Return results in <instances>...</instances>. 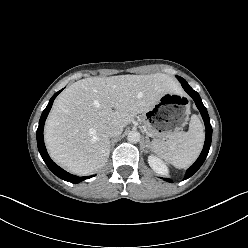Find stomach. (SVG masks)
<instances>
[{
    "instance_id": "0dacf381",
    "label": "stomach",
    "mask_w": 248,
    "mask_h": 248,
    "mask_svg": "<svg viewBox=\"0 0 248 248\" xmlns=\"http://www.w3.org/2000/svg\"><path fill=\"white\" fill-rule=\"evenodd\" d=\"M189 104L186 96L180 92L165 93L149 111L143 114V123L148 136L156 141H165L169 136L181 130L187 123Z\"/></svg>"
}]
</instances>
